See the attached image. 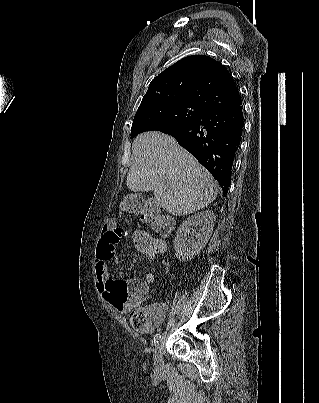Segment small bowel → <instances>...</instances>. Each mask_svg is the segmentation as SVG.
I'll list each match as a JSON object with an SVG mask.
<instances>
[{"label":"small bowel","mask_w":319,"mask_h":403,"mask_svg":"<svg viewBox=\"0 0 319 403\" xmlns=\"http://www.w3.org/2000/svg\"><path fill=\"white\" fill-rule=\"evenodd\" d=\"M108 224L99 227L98 248L94 268L97 287L101 290V299L108 300L110 309H117L123 316V323L131 329L132 335H151L163 322L170 309L169 302H146L150 292L149 285L155 281V275L149 273L146 283L142 279H117L110 277L108 262L120 253L119 238H129L130 230L121 224Z\"/></svg>","instance_id":"small-bowel-1"}]
</instances>
